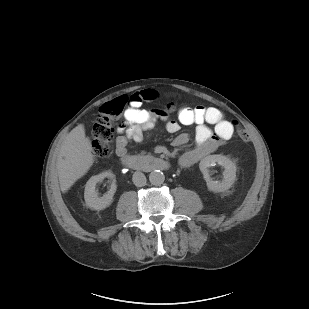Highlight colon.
Wrapping results in <instances>:
<instances>
[{
  "label": "colon",
  "mask_w": 309,
  "mask_h": 309,
  "mask_svg": "<svg viewBox=\"0 0 309 309\" xmlns=\"http://www.w3.org/2000/svg\"><path fill=\"white\" fill-rule=\"evenodd\" d=\"M127 105L128 98L119 97L104 103L100 107L91 136V148L94 157L103 158L109 155L117 128L116 121L121 117ZM237 134L242 141L247 142L250 140L249 133L244 129H238Z\"/></svg>",
  "instance_id": "5ec220e1"
}]
</instances>
